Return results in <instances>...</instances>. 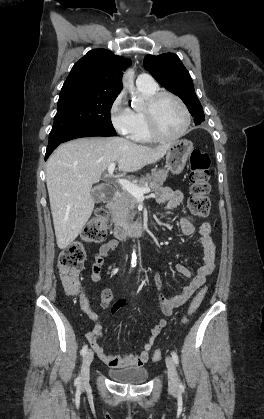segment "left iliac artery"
Wrapping results in <instances>:
<instances>
[{"label": "left iliac artery", "instance_id": "44dca946", "mask_svg": "<svg viewBox=\"0 0 264 419\" xmlns=\"http://www.w3.org/2000/svg\"><path fill=\"white\" fill-rule=\"evenodd\" d=\"M171 355H172V358H173V360H174L175 364H176V365H178V363H179V358H178L177 353H176L175 351H173V352L171 353ZM180 386H182V385H181V383H180Z\"/></svg>", "mask_w": 264, "mask_h": 419}]
</instances>
